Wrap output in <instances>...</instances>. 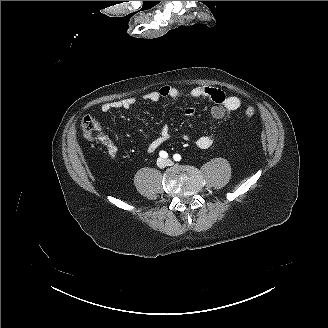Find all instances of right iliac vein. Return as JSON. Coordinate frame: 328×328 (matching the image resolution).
<instances>
[{
	"label": "right iliac vein",
	"mask_w": 328,
	"mask_h": 328,
	"mask_svg": "<svg viewBox=\"0 0 328 328\" xmlns=\"http://www.w3.org/2000/svg\"><path fill=\"white\" fill-rule=\"evenodd\" d=\"M165 164H167V163L165 162V160L162 159V158H160V159H159V162H158V165H159L160 167H164Z\"/></svg>",
	"instance_id": "obj_1"
}]
</instances>
